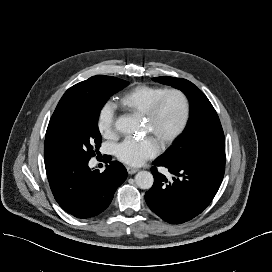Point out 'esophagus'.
Masks as SVG:
<instances>
[{
	"mask_svg": "<svg viewBox=\"0 0 272 272\" xmlns=\"http://www.w3.org/2000/svg\"><path fill=\"white\" fill-rule=\"evenodd\" d=\"M127 172L132 175L135 174L136 172H138V169L136 168H132V167H127Z\"/></svg>",
	"mask_w": 272,
	"mask_h": 272,
	"instance_id": "esophagus-1",
	"label": "esophagus"
}]
</instances>
